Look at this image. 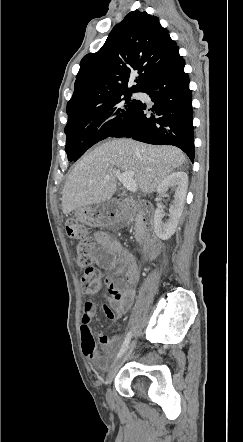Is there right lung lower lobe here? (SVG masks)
I'll list each match as a JSON object with an SVG mask.
<instances>
[{"instance_id": "98d812e1", "label": "right lung lower lobe", "mask_w": 243, "mask_h": 442, "mask_svg": "<svg viewBox=\"0 0 243 442\" xmlns=\"http://www.w3.org/2000/svg\"><path fill=\"white\" fill-rule=\"evenodd\" d=\"M184 65L178 50L140 89L154 102L151 108L154 113L148 116L146 104L138 100L129 119L116 127L108 137H132L145 143L174 145L193 162L192 94Z\"/></svg>"}]
</instances>
